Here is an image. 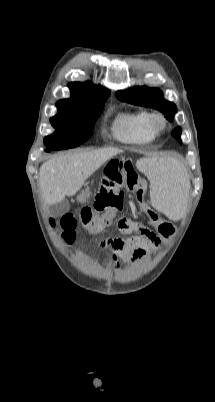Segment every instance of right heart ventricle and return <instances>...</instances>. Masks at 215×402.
Here are the masks:
<instances>
[{
	"instance_id": "obj_1",
	"label": "right heart ventricle",
	"mask_w": 215,
	"mask_h": 402,
	"mask_svg": "<svg viewBox=\"0 0 215 402\" xmlns=\"http://www.w3.org/2000/svg\"><path fill=\"white\" fill-rule=\"evenodd\" d=\"M149 113L142 110L119 112L112 124V136L123 144L143 145L152 142L156 133L148 125Z\"/></svg>"
}]
</instances>
